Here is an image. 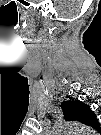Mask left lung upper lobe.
<instances>
[{"mask_svg":"<svg viewBox=\"0 0 101 135\" xmlns=\"http://www.w3.org/2000/svg\"><path fill=\"white\" fill-rule=\"evenodd\" d=\"M61 108L64 113V119L68 121H79L84 124L88 123L93 118L91 109L80 101L63 102Z\"/></svg>","mask_w":101,"mask_h":135,"instance_id":"left-lung-upper-lobe-1","label":"left lung upper lobe"}]
</instances>
